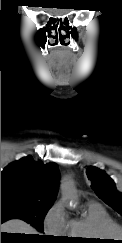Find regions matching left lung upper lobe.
Wrapping results in <instances>:
<instances>
[{
	"instance_id": "obj_1",
	"label": "left lung upper lobe",
	"mask_w": 122,
	"mask_h": 243,
	"mask_svg": "<svg viewBox=\"0 0 122 243\" xmlns=\"http://www.w3.org/2000/svg\"><path fill=\"white\" fill-rule=\"evenodd\" d=\"M86 174L98 197L122 215V194L117 191L114 181L104 171L95 167H88Z\"/></svg>"
}]
</instances>
